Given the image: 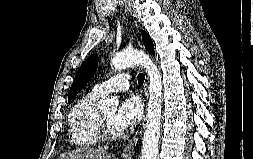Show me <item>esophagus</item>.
Returning <instances> with one entry per match:
<instances>
[{"label": "esophagus", "mask_w": 253, "mask_h": 159, "mask_svg": "<svg viewBox=\"0 0 253 159\" xmlns=\"http://www.w3.org/2000/svg\"><path fill=\"white\" fill-rule=\"evenodd\" d=\"M147 87H148V83L146 81L145 82L146 96H148ZM144 125H145V116L143 117V120H142V123H141L140 127L135 132L134 136L128 141L125 149L123 150V153H122V156H121L122 159H131L132 158V156L134 154L135 147L138 143V140L142 136Z\"/></svg>", "instance_id": "obj_1"}]
</instances>
